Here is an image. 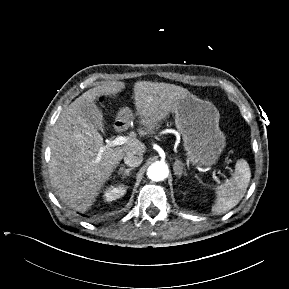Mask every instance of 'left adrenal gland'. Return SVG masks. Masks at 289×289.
<instances>
[{
	"label": "left adrenal gland",
	"mask_w": 289,
	"mask_h": 289,
	"mask_svg": "<svg viewBox=\"0 0 289 289\" xmlns=\"http://www.w3.org/2000/svg\"><path fill=\"white\" fill-rule=\"evenodd\" d=\"M173 170H174L175 174L178 175L179 177H181L183 173L185 174V172L183 171V164L178 159H176V161L174 163Z\"/></svg>",
	"instance_id": "left-adrenal-gland-1"
}]
</instances>
